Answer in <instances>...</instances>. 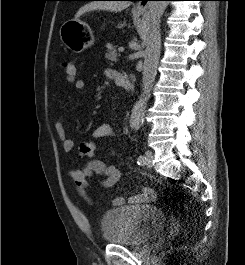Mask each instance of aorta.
Wrapping results in <instances>:
<instances>
[{"mask_svg": "<svg viewBox=\"0 0 245 265\" xmlns=\"http://www.w3.org/2000/svg\"><path fill=\"white\" fill-rule=\"evenodd\" d=\"M167 5L168 1L148 2L147 47L142 72V93L130 116V127L135 130H138L143 122L147 102L157 74L161 49L160 23Z\"/></svg>", "mask_w": 245, "mask_h": 265, "instance_id": "1", "label": "aorta"}]
</instances>
